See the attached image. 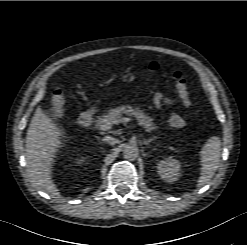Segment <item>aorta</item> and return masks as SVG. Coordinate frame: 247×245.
Listing matches in <instances>:
<instances>
[{"label": "aorta", "instance_id": "aorta-1", "mask_svg": "<svg viewBox=\"0 0 247 245\" xmlns=\"http://www.w3.org/2000/svg\"><path fill=\"white\" fill-rule=\"evenodd\" d=\"M138 154L139 150L136 145L127 144L123 149V157L127 160H135Z\"/></svg>", "mask_w": 247, "mask_h": 245}]
</instances>
